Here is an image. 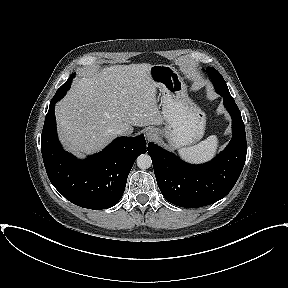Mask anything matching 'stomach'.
I'll return each instance as SVG.
<instances>
[{"label": "stomach", "mask_w": 288, "mask_h": 288, "mask_svg": "<svg viewBox=\"0 0 288 288\" xmlns=\"http://www.w3.org/2000/svg\"><path fill=\"white\" fill-rule=\"evenodd\" d=\"M150 78L162 94L164 126L154 128L159 138H166L173 148L190 146L204 135L205 113L189 98L187 86L174 67L152 65Z\"/></svg>", "instance_id": "0dacf381"}]
</instances>
